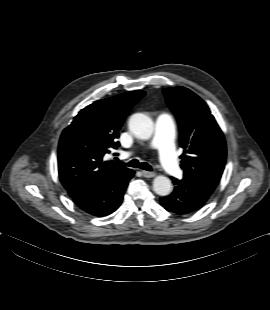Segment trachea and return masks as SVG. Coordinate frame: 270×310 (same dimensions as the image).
Returning a JSON list of instances; mask_svg holds the SVG:
<instances>
[{
    "mask_svg": "<svg viewBox=\"0 0 270 310\" xmlns=\"http://www.w3.org/2000/svg\"><path fill=\"white\" fill-rule=\"evenodd\" d=\"M124 165L126 166H129V167H134V168H141L143 170H146V171H152V167L146 163V162H139V160L137 159H133L127 163H123Z\"/></svg>",
    "mask_w": 270,
    "mask_h": 310,
    "instance_id": "obj_1",
    "label": "trachea"
}]
</instances>
